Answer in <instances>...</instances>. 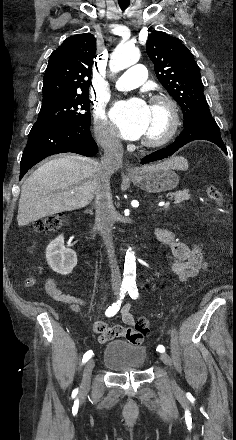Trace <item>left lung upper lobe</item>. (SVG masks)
Returning a JSON list of instances; mask_svg holds the SVG:
<instances>
[{"label":"left lung upper lobe","instance_id":"5c2ea615","mask_svg":"<svg viewBox=\"0 0 236 440\" xmlns=\"http://www.w3.org/2000/svg\"><path fill=\"white\" fill-rule=\"evenodd\" d=\"M146 49L158 80L183 111L184 127L200 115L210 113L200 70L189 49L179 39L161 31L150 34Z\"/></svg>","mask_w":236,"mask_h":440}]
</instances>
